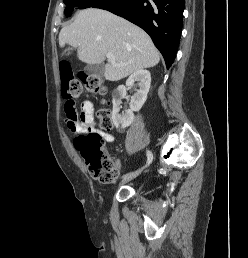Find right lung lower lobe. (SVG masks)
I'll return each instance as SVG.
<instances>
[{
  "mask_svg": "<svg viewBox=\"0 0 248 258\" xmlns=\"http://www.w3.org/2000/svg\"><path fill=\"white\" fill-rule=\"evenodd\" d=\"M95 8L124 17L145 30L170 68L180 42L184 0H108Z\"/></svg>",
  "mask_w": 248,
  "mask_h": 258,
  "instance_id": "right-lung-lower-lobe-1",
  "label": "right lung lower lobe"
}]
</instances>
